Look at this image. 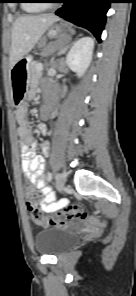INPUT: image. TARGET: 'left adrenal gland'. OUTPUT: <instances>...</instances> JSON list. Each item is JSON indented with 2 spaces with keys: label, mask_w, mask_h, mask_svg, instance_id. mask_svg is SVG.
<instances>
[{
  "label": "left adrenal gland",
  "mask_w": 136,
  "mask_h": 296,
  "mask_svg": "<svg viewBox=\"0 0 136 296\" xmlns=\"http://www.w3.org/2000/svg\"><path fill=\"white\" fill-rule=\"evenodd\" d=\"M79 36H81V34H79ZM68 48H69V45H65V46H63V47L60 49L59 54H63V53H65V52L67 51ZM60 62H61V64H62V63H63V60H61ZM62 66H64V65H62Z\"/></svg>",
  "instance_id": "obj_1"
}]
</instances>
